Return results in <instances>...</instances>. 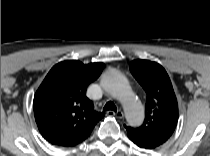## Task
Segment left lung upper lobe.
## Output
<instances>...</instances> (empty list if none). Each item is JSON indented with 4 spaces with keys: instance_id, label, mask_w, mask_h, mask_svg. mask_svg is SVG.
<instances>
[{
    "instance_id": "obj_1",
    "label": "left lung upper lobe",
    "mask_w": 210,
    "mask_h": 156,
    "mask_svg": "<svg viewBox=\"0 0 210 156\" xmlns=\"http://www.w3.org/2000/svg\"><path fill=\"white\" fill-rule=\"evenodd\" d=\"M130 70L147 94L142 126L127 127L129 138L141 148H155L172 135L178 120L177 100L170 79L162 66L135 60Z\"/></svg>"
}]
</instances>
